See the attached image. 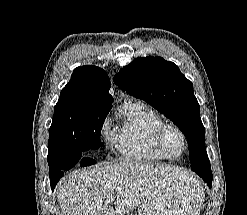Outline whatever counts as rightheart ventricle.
Listing matches in <instances>:
<instances>
[{"mask_svg":"<svg viewBox=\"0 0 247 215\" xmlns=\"http://www.w3.org/2000/svg\"><path fill=\"white\" fill-rule=\"evenodd\" d=\"M121 122L109 136L110 144L123 160L152 163L167 159L156 149L154 133L163 119L143 102L126 103Z\"/></svg>","mask_w":247,"mask_h":215,"instance_id":"1","label":"right heart ventricle"}]
</instances>
